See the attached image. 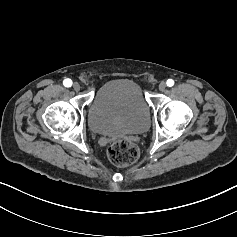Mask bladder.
I'll return each mask as SVG.
<instances>
[{
  "mask_svg": "<svg viewBox=\"0 0 237 237\" xmlns=\"http://www.w3.org/2000/svg\"><path fill=\"white\" fill-rule=\"evenodd\" d=\"M90 129L100 135L137 134L150 124V107L141 86L129 78L107 81L88 108Z\"/></svg>",
  "mask_w": 237,
  "mask_h": 237,
  "instance_id": "bladder-1",
  "label": "bladder"
}]
</instances>
